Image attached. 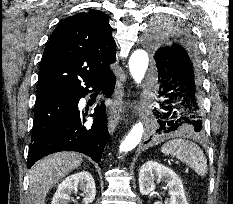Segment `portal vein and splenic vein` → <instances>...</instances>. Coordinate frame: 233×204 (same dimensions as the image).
I'll return each instance as SVG.
<instances>
[{
    "label": "portal vein and splenic vein",
    "mask_w": 233,
    "mask_h": 204,
    "mask_svg": "<svg viewBox=\"0 0 233 204\" xmlns=\"http://www.w3.org/2000/svg\"><path fill=\"white\" fill-rule=\"evenodd\" d=\"M186 171H189V168H188V167L186 168Z\"/></svg>",
    "instance_id": "portal-vein-and-splenic-vein-1"
}]
</instances>
